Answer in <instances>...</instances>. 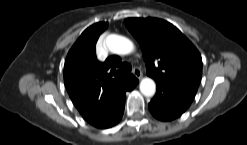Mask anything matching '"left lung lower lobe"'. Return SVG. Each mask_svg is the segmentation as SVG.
<instances>
[{"label":"left lung lower lobe","instance_id":"0a47b994","mask_svg":"<svg viewBox=\"0 0 247 145\" xmlns=\"http://www.w3.org/2000/svg\"><path fill=\"white\" fill-rule=\"evenodd\" d=\"M193 98L192 95L158 82L156 95L148 104V108L155 118L170 121L181 116L190 106Z\"/></svg>","mask_w":247,"mask_h":145}]
</instances>
